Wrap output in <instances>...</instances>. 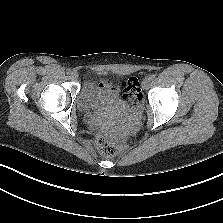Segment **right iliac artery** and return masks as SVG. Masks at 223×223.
I'll return each mask as SVG.
<instances>
[{
    "instance_id": "obj_1",
    "label": "right iliac artery",
    "mask_w": 223,
    "mask_h": 223,
    "mask_svg": "<svg viewBox=\"0 0 223 223\" xmlns=\"http://www.w3.org/2000/svg\"><path fill=\"white\" fill-rule=\"evenodd\" d=\"M66 73H67V74H71V69H67V70H66Z\"/></svg>"
}]
</instances>
